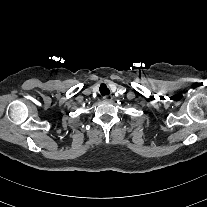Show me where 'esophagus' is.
Instances as JSON below:
<instances>
[{
  "label": "esophagus",
  "instance_id": "1",
  "mask_svg": "<svg viewBox=\"0 0 207 207\" xmlns=\"http://www.w3.org/2000/svg\"><path fill=\"white\" fill-rule=\"evenodd\" d=\"M103 99L106 101H111L113 99V96L110 94H107V95L103 96Z\"/></svg>",
  "mask_w": 207,
  "mask_h": 207
}]
</instances>
